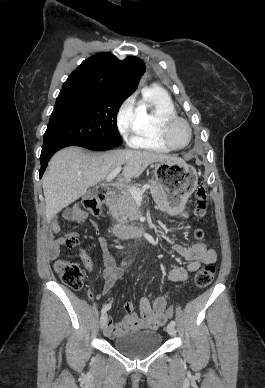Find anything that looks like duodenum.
<instances>
[{"label": "duodenum", "instance_id": "obj_1", "mask_svg": "<svg viewBox=\"0 0 265 388\" xmlns=\"http://www.w3.org/2000/svg\"><path fill=\"white\" fill-rule=\"evenodd\" d=\"M117 201V193L114 191H110L106 195V204L109 207L115 205ZM146 231V227L141 224H116L113 227V232L116 236L120 238H131V237H139Z\"/></svg>", "mask_w": 265, "mask_h": 388}]
</instances>
